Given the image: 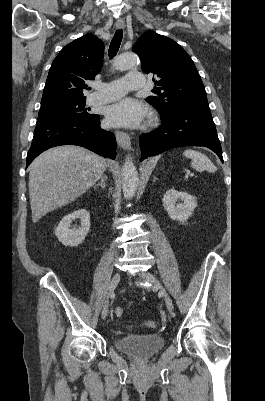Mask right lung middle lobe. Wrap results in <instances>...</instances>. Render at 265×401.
<instances>
[{
  "instance_id": "right-lung-middle-lobe-1",
  "label": "right lung middle lobe",
  "mask_w": 265,
  "mask_h": 401,
  "mask_svg": "<svg viewBox=\"0 0 265 401\" xmlns=\"http://www.w3.org/2000/svg\"><path fill=\"white\" fill-rule=\"evenodd\" d=\"M86 98L64 99L41 104L37 122L48 118H91L93 114L87 113Z\"/></svg>"
}]
</instances>
